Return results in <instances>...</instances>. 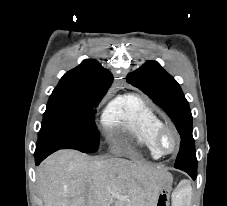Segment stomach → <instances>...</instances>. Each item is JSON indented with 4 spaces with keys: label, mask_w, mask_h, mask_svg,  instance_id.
<instances>
[{
    "label": "stomach",
    "mask_w": 227,
    "mask_h": 206,
    "mask_svg": "<svg viewBox=\"0 0 227 206\" xmlns=\"http://www.w3.org/2000/svg\"><path fill=\"white\" fill-rule=\"evenodd\" d=\"M171 191V184H166L159 192L155 206H171L169 202V194Z\"/></svg>",
    "instance_id": "stomach-1"
}]
</instances>
